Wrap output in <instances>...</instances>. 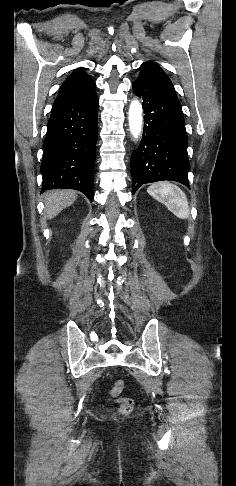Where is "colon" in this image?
I'll use <instances>...</instances> for the list:
<instances>
[{
    "label": "colon",
    "mask_w": 236,
    "mask_h": 486,
    "mask_svg": "<svg viewBox=\"0 0 236 486\" xmlns=\"http://www.w3.org/2000/svg\"><path fill=\"white\" fill-rule=\"evenodd\" d=\"M124 389V382L122 380H118L114 383L113 387L110 390V395L113 398H116L119 403V412L122 415H128L132 412L134 407V402L131 398L128 397H119L121 392Z\"/></svg>",
    "instance_id": "colon-1"
}]
</instances>
